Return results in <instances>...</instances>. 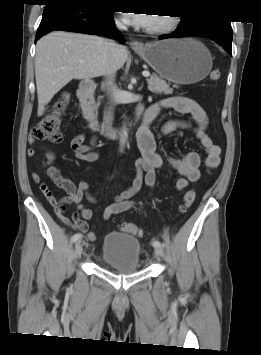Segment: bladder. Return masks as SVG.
<instances>
[{
    "instance_id": "bladder-1",
    "label": "bladder",
    "mask_w": 261,
    "mask_h": 355,
    "mask_svg": "<svg viewBox=\"0 0 261 355\" xmlns=\"http://www.w3.org/2000/svg\"><path fill=\"white\" fill-rule=\"evenodd\" d=\"M102 260L118 272H137L140 270V243L134 236L110 232L104 238Z\"/></svg>"
}]
</instances>
